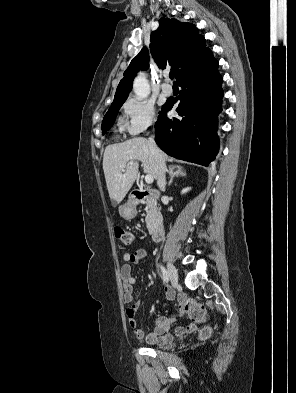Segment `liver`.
Here are the masks:
<instances>
[{
  "mask_svg": "<svg viewBox=\"0 0 296 393\" xmlns=\"http://www.w3.org/2000/svg\"><path fill=\"white\" fill-rule=\"evenodd\" d=\"M164 160L168 156L161 151ZM134 165H128L129 162ZM139 161L144 173L158 179V166L147 139L137 137L123 143L109 145L103 156V170L109 197L119 204L138 176Z\"/></svg>",
  "mask_w": 296,
  "mask_h": 393,
  "instance_id": "obj_1",
  "label": "liver"
}]
</instances>
